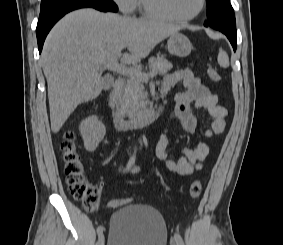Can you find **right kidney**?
I'll use <instances>...</instances> for the list:
<instances>
[{
    "mask_svg": "<svg viewBox=\"0 0 283 245\" xmlns=\"http://www.w3.org/2000/svg\"><path fill=\"white\" fill-rule=\"evenodd\" d=\"M80 132L84 141V147L87 151L92 152L104 138L106 128L96 116H91L82 121Z\"/></svg>",
    "mask_w": 283,
    "mask_h": 245,
    "instance_id": "obj_1",
    "label": "right kidney"
}]
</instances>
